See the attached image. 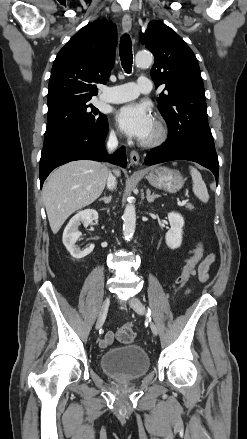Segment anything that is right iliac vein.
<instances>
[{"label": "right iliac vein", "instance_id": "right-iliac-vein-1", "mask_svg": "<svg viewBox=\"0 0 247 439\" xmlns=\"http://www.w3.org/2000/svg\"><path fill=\"white\" fill-rule=\"evenodd\" d=\"M109 304H110V297L107 296L102 304V307H101V310H100V313H99V316H98V319L96 322V326H95L96 329H98L103 324V322L106 318L108 309H109Z\"/></svg>", "mask_w": 247, "mask_h": 439}]
</instances>
